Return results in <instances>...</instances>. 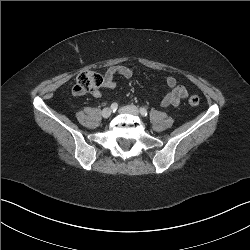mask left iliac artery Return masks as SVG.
Segmentation results:
<instances>
[{
  "label": "left iliac artery",
  "instance_id": "obj_1",
  "mask_svg": "<svg viewBox=\"0 0 250 250\" xmlns=\"http://www.w3.org/2000/svg\"><path fill=\"white\" fill-rule=\"evenodd\" d=\"M140 113L142 116L146 117L148 115V112L145 108H140Z\"/></svg>",
  "mask_w": 250,
  "mask_h": 250
}]
</instances>
